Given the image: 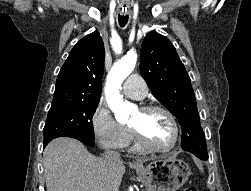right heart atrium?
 <instances>
[{"instance_id": "1", "label": "right heart atrium", "mask_w": 251, "mask_h": 191, "mask_svg": "<svg viewBox=\"0 0 251 191\" xmlns=\"http://www.w3.org/2000/svg\"><path fill=\"white\" fill-rule=\"evenodd\" d=\"M90 127L95 142L103 149H122L131 139V129L120 124L101 103L90 117Z\"/></svg>"}]
</instances>
